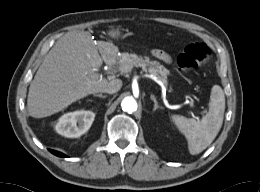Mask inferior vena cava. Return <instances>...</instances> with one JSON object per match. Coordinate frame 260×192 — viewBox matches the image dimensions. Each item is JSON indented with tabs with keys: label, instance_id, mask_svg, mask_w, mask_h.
Here are the masks:
<instances>
[{
	"label": "inferior vena cava",
	"instance_id": "inferior-vena-cava-1",
	"mask_svg": "<svg viewBox=\"0 0 260 192\" xmlns=\"http://www.w3.org/2000/svg\"><path fill=\"white\" fill-rule=\"evenodd\" d=\"M122 87V81L120 79H113L108 82L107 86L102 89V92L113 94L118 92Z\"/></svg>",
	"mask_w": 260,
	"mask_h": 192
}]
</instances>
